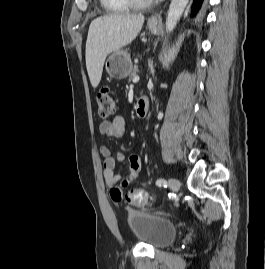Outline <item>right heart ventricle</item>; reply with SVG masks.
Wrapping results in <instances>:
<instances>
[{
  "label": "right heart ventricle",
  "mask_w": 265,
  "mask_h": 269,
  "mask_svg": "<svg viewBox=\"0 0 265 269\" xmlns=\"http://www.w3.org/2000/svg\"><path fill=\"white\" fill-rule=\"evenodd\" d=\"M105 11L109 13H122L130 9L125 0H99Z\"/></svg>",
  "instance_id": "1"
}]
</instances>
